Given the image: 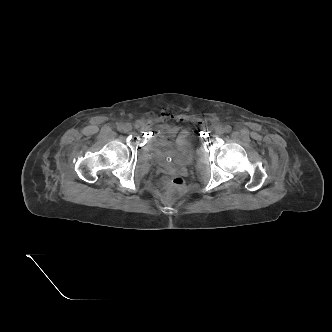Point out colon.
Wrapping results in <instances>:
<instances>
[{
  "label": "colon",
  "mask_w": 332,
  "mask_h": 332,
  "mask_svg": "<svg viewBox=\"0 0 332 332\" xmlns=\"http://www.w3.org/2000/svg\"><path fill=\"white\" fill-rule=\"evenodd\" d=\"M184 184V180L178 176H166L162 180V186L169 194L180 192Z\"/></svg>",
  "instance_id": "5ec220e1"
}]
</instances>
